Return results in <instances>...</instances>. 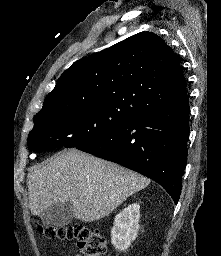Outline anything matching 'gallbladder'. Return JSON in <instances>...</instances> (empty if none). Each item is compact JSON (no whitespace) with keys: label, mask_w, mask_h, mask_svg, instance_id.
Here are the masks:
<instances>
[{"label":"gallbladder","mask_w":221,"mask_h":256,"mask_svg":"<svg viewBox=\"0 0 221 256\" xmlns=\"http://www.w3.org/2000/svg\"><path fill=\"white\" fill-rule=\"evenodd\" d=\"M73 219L72 206L68 202L55 203L48 207L41 215V221L45 226H65Z\"/></svg>","instance_id":"1"}]
</instances>
